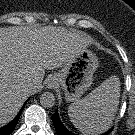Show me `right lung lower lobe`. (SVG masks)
Returning <instances> with one entry per match:
<instances>
[{
  "mask_svg": "<svg viewBox=\"0 0 135 135\" xmlns=\"http://www.w3.org/2000/svg\"><path fill=\"white\" fill-rule=\"evenodd\" d=\"M24 106H25V104H24ZM24 106L22 107V109L24 108ZM22 109L20 110V112L18 113V115L15 117L14 120H12L6 126L0 128V135H10L11 134V132L15 129V126H16L18 120H19Z\"/></svg>",
  "mask_w": 135,
  "mask_h": 135,
  "instance_id": "right-lung-lower-lobe-1",
  "label": "right lung lower lobe"
}]
</instances>
